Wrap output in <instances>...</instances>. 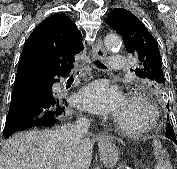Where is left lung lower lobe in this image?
<instances>
[{
  "instance_id": "obj_1",
  "label": "left lung lower lobe",
  "mask_w": 177,
  "mask_h": 169,
  "mask_svg": "<svg viewBox=\"0 0 177 169\" xmlns=\"http://www.w3.org/2000/svg\"><path fill=\"white\" fill-rule=\"evenodd\" d=\"M165 136H166L167 138H169L170 140H172L174 143L177 144L175 135H172V134H171V135H167V134H165Z\"/></svg>"
}]
</instances>
